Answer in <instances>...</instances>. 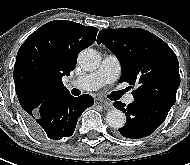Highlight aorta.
<instances>
[{
	"label": "aorta",
	"instance_id": "762f6f07",
	"mask_svg": "<svg viewBox=\"0 0 190 165\" xmlns=\"http://www.w3.org/2000/svg\"><path fill=\"white\" fill-rule=\"evenodd\" d=\"M78 63L86 71H94L100 66L101 58L96 50L87 48L79 53ZM106 121L110 127L118 129L124 126L126 122V116L122 111L118 109H112L107 112Z\"/></svg>",
	"mask_w": 190,
	"mask_h": 165
}]
</instances>
